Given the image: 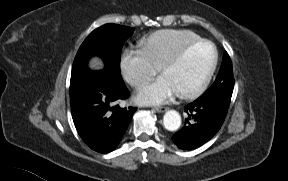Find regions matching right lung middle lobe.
Here are the masks:
<instances>
[{"mask_svg": "<svg viewBox=\"0 0 288 181\" xmlns=\"http://www.w3.org/2000/svg\"><path fill=\"white\" fill-rule=\"evenodd\" d=\"M134 29L131 27L105 24L94 31L80 46L71 72L70 100L77 95L78 80L81 75L89 71L87 61L91 56H99L105 63L104 71L114 82L122 83L120 73V55L122 46Z\"/></svg>", "mask_w": 288, "mask_h": 181, "instance_id": "1", "label": "right lung middle lobe"}]
</instances>
